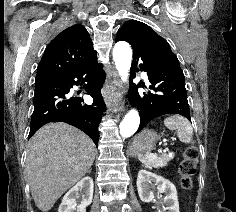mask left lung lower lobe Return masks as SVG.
<instances>
[{
    "label": "left lung lower lobe",
    "instance_id": "obj_1",
    "mask_svg": "<svg viewBox=\"0 0 236 212\" xmlns=\"http://www.w3.org/2000/svg\"><path fill=\"white\" fill-rule=\"evenodd\" d=\"M121 40L124 39H116V42ZM138 61L140 70L147 72L149 89L153 92L139 94L137 87L143 84L129 91V101L140 115L137 133L153 119L166 114H180L191 121L184 74L177 57L169 53L134 52L132 71H138Z\"/></svg>",
    "mask_w": 236,
    "mask_h": 212
}]
</instances>
